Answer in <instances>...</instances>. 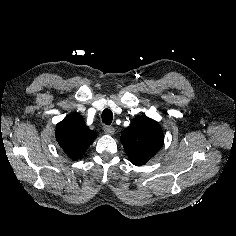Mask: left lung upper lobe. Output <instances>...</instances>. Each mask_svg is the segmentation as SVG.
Returning <instances> with one entry per match:
<instances>
[{"instance_id": "5c2ea615", "label": "left lung upper lobe", "mask_w": 236, "mask_h": 236, "mask_svg": "<svg viewBox=\"0 0 236 236\" xmlns=\"http://www.w3.org/2000/svg\"><path fill=\"white\" fill-rule=\"evenodd\" d=\"M120 140L129 157L137 166L145 164L162 147L164 135L158 122L140 116L122 131Z\"/></svg>"}]
</instances>
